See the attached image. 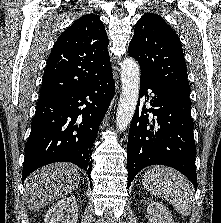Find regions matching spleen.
Returning a JSON list of instances; mask_svg holds the SVG:
<instances>
[{
	"mask_svg": "<svg viewBox=\"0 0 221 223\" xmlns=\"http://www.w3.org/2000/svg\"><path fill=\"white\" fill-rule=\"evenodd\" d=\"M142 184L150 193L169 201L175 210L188 216L191 212V189L186 178L173 169L155 166L142 176Z\"/></svg>",
	"mask_w": 221,
	"mask_h": 223,
	"instance_id": "3e777b00",
	"label": "spleen"
}]
</instances>
